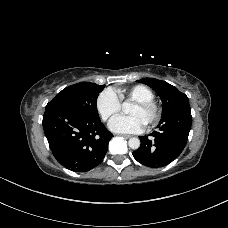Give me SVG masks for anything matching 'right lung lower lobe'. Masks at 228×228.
<instances>
[{"instance_id": "1", "label": "right lung lower lobe", "mask_w": 228, "mask_h": 228, "mask_svg": "<svg viewBox=\"0 0 228 228\" xmlns=\"http://www.w3.org/2000/svg\"><path fill=\"white\" fill-rule=\"evenodd\" d=\"M43 128L56 160L75 172L98 166L113 136L99 116H88L57 104L46 106Z\"/></svg>"}]
</instances>
